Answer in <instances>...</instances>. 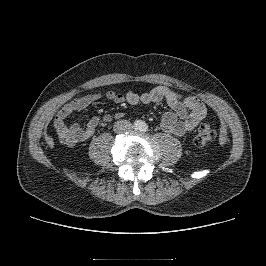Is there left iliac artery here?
Segmentation results:
<instances>
[{"instance_id":"44dca946","label":"left iliac artery","mask_w":266,"mask_h":266,"mask_svg":"<svg viewBox=\"0 0 266 266\" xmlns=\"http://www.w3.org/2000/svg\"><path fill=\"white\" fill-rule=\"evenodd\" d=\"M140 130H141L142 132L147 131V130H148V125H147L146 123H142V124H141V127H140Z\"/></svg>"}]
</instances>
